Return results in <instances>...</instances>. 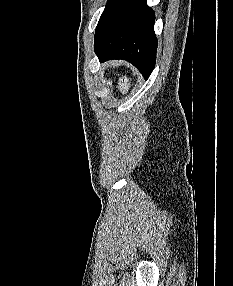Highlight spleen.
<instances>
[{
    "label": "spleen",
    "mask_w": 233,
    "mask_h": 286,
    "mask_svg": "<svg viewBox=\"0 0 233 286\" xmlns=\"http://www.w3.org/2000/svg\"><path fill=\"white\" fill-rule=\"evenodd\" d=\"M131 87L130 79L125 75L119 78L117 88L123 95L127 94Z\"/></svg>",
    "instance_id": "obj_1"
}]
</instances>
